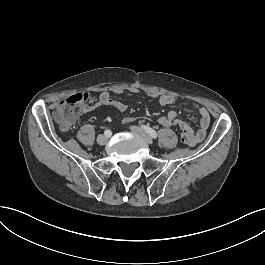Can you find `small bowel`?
Here are the masks:
<instances>
[{"label":"small bowel","mask_w":265,"mask_h":265,"mask_svg":"<svg viewBox=\"0 0 265 265\" xmlns=\"http://www.w3.org/2000/svg\"><path fill=\"white\" fill-rule=\"evenodd\" d=\"M132 92L138 93L139 90L133 89ZM114 93L122 94L123 89L122 88H116V89H114ZM148 96L151 98L157 99L158 103L161 106H167V105L173 104L176 100L174 96L169 95V94L159 95L157 93H148ZM99 106H110V107H112V108H114L120 112H123L127 109L126 103L113 99L110 96L109 92L103 91L100 93L97 103L92 104V105L81 106L80 107V113L78 115H84V114L92 111L93 109H95ZM183 111L185 113L195 114L198 116L199 128L197 130H195L190 125H188L187 123L182 121L180 119V113L178 111H174V110L168 112V114L165 116H161L158 119V123H159V125H161L163 127H171V126L178 127L181 130V132H185L190 136V138L192 140V143L190 145H195V144L201 142L206 136L207 130H208L209 125H210V114L205 107L200 106V105H192L189 107H184ZM135 119L136 120L140 119L141 121L144 120L146 122L149 120L146 116L140 117L139 115H136L135 117L132 116L130 119L127 117L125 119V121L127 123H129L130 121L133 122ZM150 121L152 123L153 122L155 123L157 120L155 118L154 119L152 118Z\"/></svg>","instance_id":"obj_1"}]
</instances>
